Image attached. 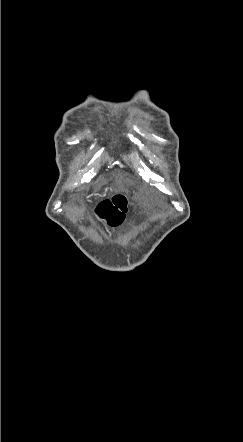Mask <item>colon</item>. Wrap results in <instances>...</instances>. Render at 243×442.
<instances>
[{"instance_id": "5ec220e1", "label": "colon", "mask_w": 243, "mask_h": 442, "mask_svg": "<svg viewBox=\"0 0 243 442\" xmlns=\"http://www.w3.org/2000/svg\"><path fill=\"white\" fill-rule=\"evenodd\" d=\"M127 211V199L124 195H115L109 200L101 202L96 208V214L109 226L116 227L122 224Z\"/></svg>"}]
</instances>
